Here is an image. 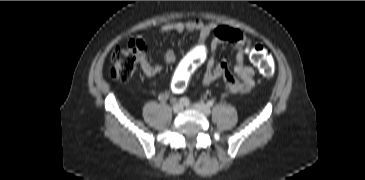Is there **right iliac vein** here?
<instances>
[{"label":"right iliac vein","mask_w":365,"mask_h":180,"mask_svg":"<svg viewBox=\"0 0 365 180\" xmlns=\"http://www.w3.org/2000/svg\"><path fill=\"white\" fill-rule=\"evenodd\" d=\"M172 109L174 113H180L183 110V106L181 104H174Z\"/></svg>","instance_id":"obj_1"}]
</instances>
